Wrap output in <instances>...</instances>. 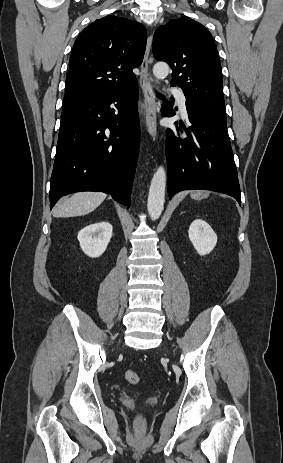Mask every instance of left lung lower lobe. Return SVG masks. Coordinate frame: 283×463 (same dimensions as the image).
I'll return each mask as SVG.
<instances>
[{"instance_id":"0a47b994","label":"left lung lower lobe","mask_w":283,"mask_h":463,"mask_svg":"<svg viewBox=\"0 0 283 463\" xmlns=\"http://www.w3.org/2000/svg\"><path fill=\"white\" fill-rule=\"evenodd\" d=\"M186 109L191 123L184 128L187 137H179L171 129L166 132L169 197L181 190L206 189L228 194L241 204L227 122L187 103ZM161 112L163 116L175 114L169 103L162 105Z\"/></svg>"}]
</instances>
